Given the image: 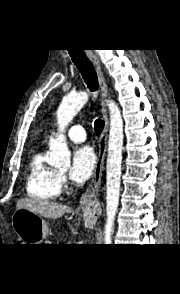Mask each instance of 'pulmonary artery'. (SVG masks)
Returning <instances> with one entry per match:
<instances>
[{"mask_svg":"<svg viewBox=\"0 0 180 294\" xmlns=\"http://www.w3.org/2000/svg\"><path fill=\"white\" fill-rule=\"evenodd\" d=\"M68 137L73 142L81 143L86 139V132L81 125H73L68 130Z\"/></svg>","mask_w":180,"mask_h":294,"instance_id":"e3ab8cb5","label":"pulmonary artery"}]
</instances>
